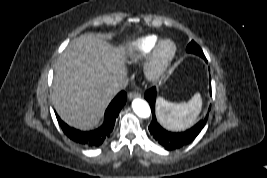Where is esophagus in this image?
<instances>
[{
	"label": "esophagus",
	"mask_w": 267,
	"mask_h": 178,
	"mask_svg": "<svg viewBox=\"0 0 267 178\" xmlns=\"http://www.w3.org/2000/svg\"><path fill=\"white\" fill-rule=\"evenodd\" d=\"M140 96H141V94L138 91H131V92L128 93V98L129 99L137 98V97H140Z\"/></svg>",
	"instance_id": "34e87169"
}]
</instances>
